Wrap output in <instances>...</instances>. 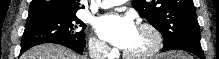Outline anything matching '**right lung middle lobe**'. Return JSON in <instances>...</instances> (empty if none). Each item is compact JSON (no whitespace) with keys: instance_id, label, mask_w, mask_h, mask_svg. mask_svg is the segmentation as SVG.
I'll list each match as a JSON object with an SVG mask.
<instances>
[{"instance_id":"1","label":"right lung middle lobe","mask_w":219,"mask_h":59,"mask_svg":"<svg viewBox=\"0 0 219 59\" xmlns=\"http://www.w3.org/2000/svg\"><path fill=\"white\" fill-rule=\"evenodd\" d=\"M85 28L76 13L31 12L22 36L21 51L43 43L70 42L85 46Z\"/></svg>"}]
</instances>
